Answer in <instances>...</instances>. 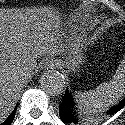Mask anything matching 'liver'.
Here are the masks:
<instances>
[{"label": "liver", "mask_w": 125, "mask_h": 125, "mask_svg": "<svg viewBox=\"0 0 125 125\" xmlns=\"http://www.w3.org/2000/svg\"><path fill=\"white\" fill-rule=\"evenodd\" d=\"M0 13L2 12L0 11ZM4 21L5 18L3 16L1 18L0 15V123L14 106L23 85L18 72L21 59L9 43L12 42L10 41L12 37L8 34ZM59 22V17L54 12L49 11L47 15L37 19L35 24L39 30L48 33L53 27L52 25L55 24V27H58ZM56 52L53 49L51 53Z\"/></svg>", "instance_id": "1"}]
</instances>
